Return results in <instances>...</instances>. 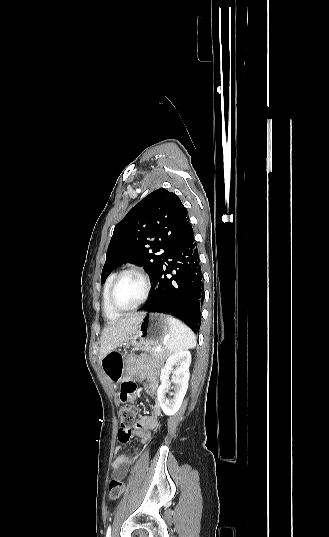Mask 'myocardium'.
Returning a JSON list of instances; mask_svg holds the SVG:
<instances>
[{
	"label": "myocardium",
	"instance_id": "f54148a6",
	"mask_svg": "<svg viewBox=\"0 0 329 537\" xmlns=\"http://www.w3.org/2000/svg\"><path fill=\"white\" fill-rule=\"evenodd\" d=\"M128 274H135V275H138L143 283H144V293L141 297V299L133 306L129 307V308H121L119 306L116 305L115 301H114V294H115V290L117 288V285L119 283V281L125 276V275H128ZM150 290H151V280H150V277L148 276V274L141 268H138V267H129V268H126L124 270H122L121 272H119L116 277L114 278L111 286H110V289H109V294H108V301H109V305L110 307L118 312V313H125V312H129V311H132L136 308H138L139 306H141L147 299L149 293H150Z\"/></svg>",
	"mask_w": 329,
	"mask_h": 537
}]
</instances>
